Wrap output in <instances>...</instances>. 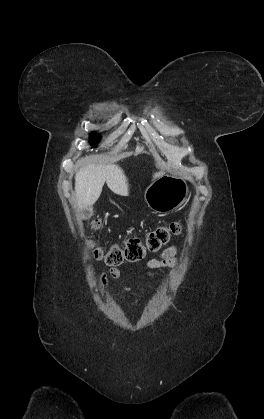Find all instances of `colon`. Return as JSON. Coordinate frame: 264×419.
<instances>
[{
  "label": "colon",
  "instance_id": "1",
  "mask_svg": "<svg viewBox=\"0 0 264 419\" xmlns=\"http://www.w3.org/2000/svg\"><path fill=\"white\" fill-rule=\"evenodd\" d=\"M100 221L94 223L95 228H99ZM180 225L173 222L166 226H158L149 230L144 238L131 237L123 245H113L104 250L98 247L94 242H89V247L96 259H103L107 265L115 267L124 261H138L144 254L157 252L168 243L172 235L178 234Z\"/></svg>",
  "mask_w": 264,
  "mask_h": 419
}]
</instances>
